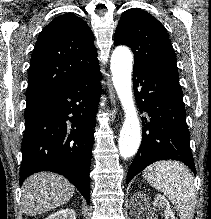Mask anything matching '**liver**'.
Listing matches in <instances>:
<instances>
[{"mask_svg": "<svg viewBox=\"0 0 211 219\" xmlns=\"http://www.w3.org/2000/svg\"><path fill=\"white\" fill-rule=\"evenodd\" d=\"M74 185L59 174L40 172L27 178L22 186V207L34 216L66 204L73 196Z\"/></svg>", "mask_w": 211, "mask_h": 219, "instance_id": "liver-1", "label": "liver"}]
</instances>
